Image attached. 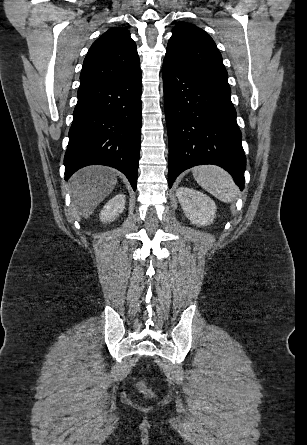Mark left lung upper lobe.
Wrapping results in <instances>:
<instances>
[{
  "label": "left lung upper lobe",
  "mask_w": 307,
  "mask_h": 445,
  "mask_svg": "<svg viewBox=\"0 0 307 445\" xmlns=\"http://www.w3.org/2000/svg\"><path fill=\"white\" fill-rule=\"evenodd\" d=\"M164 59L198 81L231 93L222 56L213 39L201 28L178 23L172 30Z\"/></svg>",
  "instance_id": "5c2ea615"
}]
</instances>
